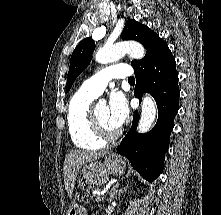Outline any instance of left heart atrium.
Instances as JSON below:
<instances>
[{
  "label": "left heart atrium",
  "instance_id": "39dd6f15",
  "mask_svg": "<svg viewBox=\"0 0 221 215\" xmlns=\"http://www.w3.org/2000/svg\"><path fill=\"white\" fill-rule=\"evenodd\" d=\"M107 107L110 123L116 128L121 127L129 115L127 101L123 93L113 92Z\"/></svg>",
  "mask_w": 221,
  "mask_h": 215
}]
</instances>
